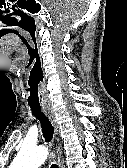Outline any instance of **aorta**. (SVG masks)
Returning a JSON list of instances; mask_svg holds the SVG:
<instances>
[{"label":"aorta","mask_w":127,"mask_h":168,"mask_svg":"<svg viewBox=\"0 0 127 168\" xmlns=\"http://www.w3.org/2000/svg\"><path fill=\"white\" fill-rule=\"evenodd\" d=\"M48 155L45 147L23 146L18 152L10 168H39Z\"/></svg>","instance_id":"obj_1"}]
</instances>
